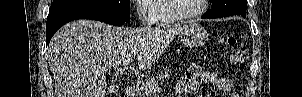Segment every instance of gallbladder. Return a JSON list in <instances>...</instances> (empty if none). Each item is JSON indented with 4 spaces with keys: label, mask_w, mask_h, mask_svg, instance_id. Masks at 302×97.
<instances>
[{
    "label": "gallbladder",
    "mask_w": 302,
    "mask_h": 97,
    "mask_svg": "<svg viewBox=\"0 0 302 97\" xmlns=\"http://www.w3.org/2000/svg\"><path fill=\"white\" fill-rule=\"evenodd\" d=\"M116 91H118V89H117L116 87H110V88H109V92H110V93H114V92H116Z\"/></svg>",
    "instance_id": "bac80fb5"
}]
</instances>
